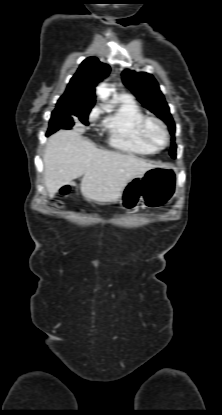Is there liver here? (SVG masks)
Masks as SVG:
<instances>
[{
    "label": "liver",
    "instance_id": "6515ba94",
    "mask_svg": "<svg viewBox=\"0 0 222 415\" xmlns=\"http://www.w3.org/2000/svg\"><path fill=\"white\" fill-rule=\"evenodd\" d=\"M44 180L53 198L64 185H75L83 176L80 191L84 198L100 204L114 203L127 182L160 166L133 154L98 149L76 130H59L48 138L43 156Z\"/></svg>",
    "mask_w": 222,
    "mask_h": 415
}]
</instances>
